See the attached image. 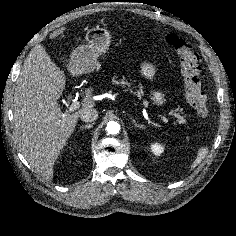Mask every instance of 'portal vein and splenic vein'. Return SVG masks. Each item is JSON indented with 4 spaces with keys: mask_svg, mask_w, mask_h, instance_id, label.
<instances>
[{
    "mask_svg": "<svg viewBox=\"0 0 236 236\" xmlns=\"http://www.w3.org/2000/svg\"><path fill=\"white\" fill-rule=\"evenodd\" d=\"M80 102L77 101V100H73L71 105L69 106L68 110H66L65 113H68V112H74L75 110L79 109L80 108ZM159 118L164 122V123H169V120L163 116V115H159Z\"/></svg>",
    "mask_w": 236,
    "mask_h": 236,
    "instance_id": "1",
    "label": "portal vein and splenic vein"
}]
</instances>
